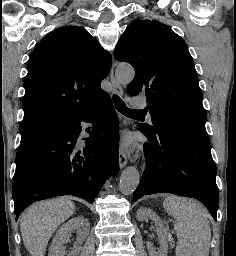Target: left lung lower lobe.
Listing matches in <instances>:
<instances>
[{
	"instance_id": "1",
	"label": "left lung lower lobe",
	"mask_w": 236,
	"mask_h": 256,
	"mask_svg": "<svg viewBox=\"0 0 236 256\" xmlns=\"http://www.w3.org/2000/svg\"><path fill=\"white\" fill-rule=\"evenodd\" d=\"M139 130L149 140L143 146L147 168L133 201L154 193L193 197L216 221L219 192L209 137L165 120L156 123L154 133L141 126Z\"/></svg>"
}]
</instances>
